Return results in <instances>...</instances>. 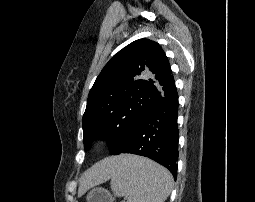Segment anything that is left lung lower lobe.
Segmentation results:
<instances>
[{
    "label": "left lung lower lobe",
    "instance_id": "left-lung-lower-lobe-1",
    "mask_svg": "<svg viewBox=\"0 0 255 202\" xmlns=\"http://www.w3.org/2000/svg\"><path fill=\"white\" fill-rule=\"evenodd\" d=\"M177 116L178 95L175 91L166 96L147 114L120 153H132L148 157L169 169L176 180Z\"/></svg>",
    "mask_w": 255,
    "mask_h": 202
}]
</instances>
